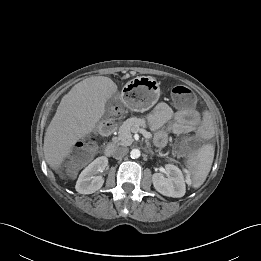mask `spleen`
I'll use <instances>...</instances> for the list:
<instances>
[{
	"mask_svg": "<svg viewBox=\"0 0 261 261\" xmlns=\"http://www.w3.org/2000/svg\"><path fill=\"white\" fill-rule=\"evenodd\" d=\"M214 147L211 144L203 145L197 154L187 162L189 176L187 183L199 188L206 180L213 163Z\"/></svg>",
	"mask_w": 261,
	"mask_h": 261,
	"instance_id": "1",
	"label": "spleen"
}]
</instances>
